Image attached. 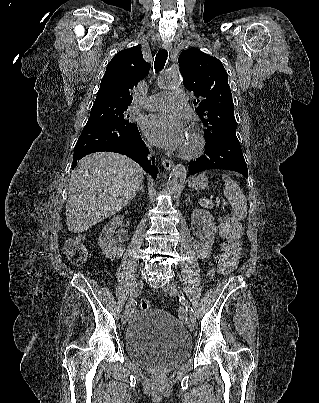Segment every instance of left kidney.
I'll use <instances>...</instances> for the list:
<instances>
[{
  "label": "left kidney",
  "mask_w": 319,
  "mask_h": 403,
  "mask_svg": "<svg viewBox=\"0 0 319 403\" xmlns=\"http://www.w3.org/2000/svg\"><path fill=\"white\" fill-rule=\"evenodd\" d=\"M191 220L194 224H204L203 236L200 241L194 242L196 255L199 258H206L211 253V248L214 243V236L216 234V225L214 217L210 212L203 209H196L192 212Z\"/></svg>",
  "instance_id": "obj_1"
}]
</instances>
